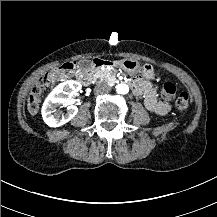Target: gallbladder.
Wrapping results in <instances>:
<instances>
[{"label":"gallbladder","instance_id":"obj_1","mask_svg":"<svg viewBox=\"0 0 217 217\" xmlns=\"http://www.w3.org/2000/svg\"><path fill=\"white\" fill-rule=\"evenodd\" d=\"M79 67L80 68H91L92 67V62L88 60H83L79 62Z\"/></svg>","mask_w":217,"mask_h":217}]
</instances>
